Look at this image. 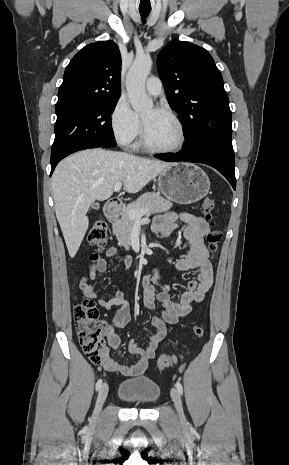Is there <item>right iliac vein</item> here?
Masks as SVG:
<instances>
[{
	"label": "right iliac vein",
	"mask_w": 289,
	"mask_h": 465,
	"mask_svg": "<svg viewBox=\"0 0 289 465\" xmlns=\"http://www.w3.org/2000/svg\"><path fill=\"white\" fill-rule=\"evenodd\" d=\"M108 395V385L103 384L98 392L93 418L96 420Z\"/></svg>",
	"instance_id": "right-iliac-vein-1"
}]
</instances>
